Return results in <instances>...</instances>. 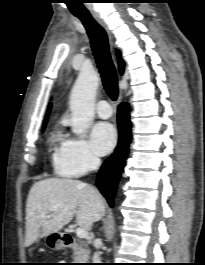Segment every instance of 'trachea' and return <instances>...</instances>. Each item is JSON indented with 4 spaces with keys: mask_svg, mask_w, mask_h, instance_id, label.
Listing matches in <instances>:
<instances>
[{
    "mask_svg": "<svg viewBox=\"0 0 205 265\" xmlns=\"http://www.w3.org/2000/svg\"><path fill=\"white\" fill-rule=\"evenodd\" d=\"M75 16L82 21L90 38L93 55L101 74L104 89L112 100H116L118 96L117 73L111 59L107 34L91 14H78Z\"/></svg>",
    "mask_w": 205,
    "mask_h": 265,
    "instance_id": "obj_1",
    "label": "trachea"
}]
</instances>
